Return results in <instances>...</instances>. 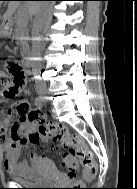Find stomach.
Wrapping results in <instances>:
<instances>
[{
    "mask_svg": "<svg viewBox=\"0 0 137 189\" xmlns=\"http://www.w3.org/2000/svg\"><path fill=\"white\" fill-rule=\"evenodd\" d=\"M6 35H8V31L6 29H1L0 36H6Z\"/></svg>",
    "mask_w": 137,
    "mask_h": 189,
    "instance_id": "0dacf381",
    "label": "stomach"
}]
</instances>
